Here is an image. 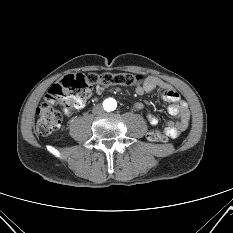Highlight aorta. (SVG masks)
<instances>
[{
	"label": "aorta",
	"mask_w": 233,
	"mask_h": 233,
	"mask_svg": "<svg viewBox=\"0 0 233 233\" xmlns=\"http://www.w3.org/2000/svg\"><path fill=\"white\" fill-rule=\"evenodd\" d=\"M117 107V103L114 99L110 98V99H106L104 101V108L107 111H114Z\"/></svg>",
	"instance_id": "1"
}]
</instances>
